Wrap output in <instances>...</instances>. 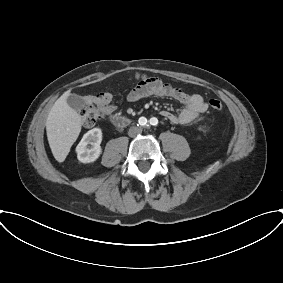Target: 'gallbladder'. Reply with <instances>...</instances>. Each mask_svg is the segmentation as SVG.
Here are the masks:
<instances>
[{
  "instance_id": "gallbladder-1",
  "label": "gallbladder",
  "mask_w": 283,
  "mask_h": 283,
  "mask_svg": "<svg viewBox=\"0 0 283 283\" xmlns=\"http://www.w3.org/2000/svg\"><path fill=\"white\" fill-rule=\"evenodd\" d=\"M67 104L74 110L80 111L84 106V100L77 94H70L67 97Z\"/></svg>"
}]
</instances>
